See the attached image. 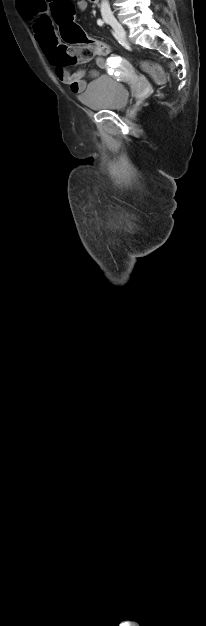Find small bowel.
Returning <instances> with one entry per match:
<instances>
[{
	"label": "small bowel",
	"mask_w": 206,
	"mask_h": 626,
	"mask_svg": "<svg viewBox=\"0 0 206 626\" xmlns=\"http://www.w3.org/2000/svg\"><path fill=\"white\" fill-rule=\"evenodd\" d=\"M88 4L86 0H77V8L79 11L83 12L87 9ZM32 14L30 16H34ZM43 25L47 26V29H43ZM33 31L35 39L40 46L41 50L47 57V59L56 66V76L57 78L64 84L69 85L70 89L74 93H81L86 88V71L78 70L76 72H70L67 70L62 64L57 62V50L60 46L58 40L54 34V31L49 23L43 17H37L34 20ZM110 61L116 62L117 67L121 72H126L129 69V64L126 60L117 57L111 56L109 58ZM98 63L100 65L109 66L106 60L102 57L98 59ZM94 73H92L93 75Z\"/></svg>",
	"instance_id": "c3829d8e"
}]
</instances>
